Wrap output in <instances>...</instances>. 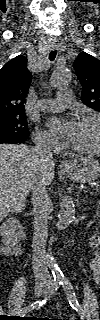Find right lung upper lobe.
Listing matches in <instances>:
<instances>
[{"mask_svg": "<svg viewBox=\"0 0 100 320\" xmlns=\"http://www.w3.org/2000/svg\"><path fill=\"white\" fill-rule=\"evenodd\" d=\"M26 63L19 55L0 70V119L25 116L23 104L32 77Z\"/></svg>", "mask_w": 100, "mask_h": 320, "instance_id": "obj_1", "label": "right lung upper lobe"}]
</instances>
